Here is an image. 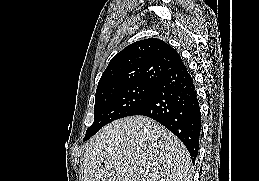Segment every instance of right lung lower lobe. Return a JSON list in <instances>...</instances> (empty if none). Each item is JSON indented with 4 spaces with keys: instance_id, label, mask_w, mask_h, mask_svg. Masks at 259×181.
I'll return each mask as SVG.
<instances>
[{
    "instance_id": "1",
    "label": "right lung lower lobe",
    "mask_w": 259,
    "mask_h": 181,
    "mask_svg": "<svg viewBox=\"0 0 259 181\" xmlns=\"http://www.w3.org/2000/svg\"><path fill=\"white\" fill-rule=\"evenodd\" d=\"M131 115L147 116L164 125L184 143L195 161L201 113L193 79L184 64L163 76L150 98Z\"/></svg>"
}]
</instances>
